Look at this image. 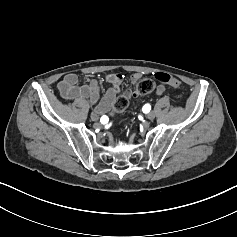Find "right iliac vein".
Listing matches in <instances>:
<instances>
[{"mask_svg":"<svg viewBox=\"0 0 237 237\" xmlns=\"http://www.w3.org/2000/svg\"><path fill=\"white\" fill-rule=\"evenodd\" d=\"M91 119H92L93 121H98V115H97L96 113H92V114H91Z\"/></svg>","mask_w":237,"mask_h":237,"instance_id":"obj_1","label":"right iliac vein"}]
</instances>
